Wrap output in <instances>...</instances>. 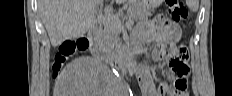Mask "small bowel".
Instances as JSON below:
<instances>
[{
  "mask_svg": "<svg viewBox=\"0 0 232 96\" xmlns=\"http://www.w3.org/2000/svg\"><path fill=\"white\" fill-rule=\"evenodd\" d=\"M152 20H142L134 30H128V35H132V41L135 45L144 43H161V39H167L168 35H175L179 30V25L170 22L165 15V11H156ZM155 57H166L162 50L154 52ZM174 71V69L172 68ZM188 74V73H187ZM187 74H176L175 90L172 91L166 84L161 85L157 90L154 88L150 74L146 68L139 71V84L144 96H173L176 93L179 96L186 95Z\"/></svg>",
  "mask_w": 232,
  "mask_h": 96,
  "instance_id": "1",
  "label": "small bowel"
}]
</instances>
